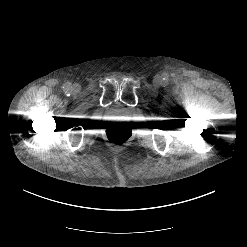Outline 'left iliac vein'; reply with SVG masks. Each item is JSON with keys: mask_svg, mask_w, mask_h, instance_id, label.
Listing matches in <instances>:
<instances>
[{"mask_svg": "<svg viewBox=\"0 0 247 247\" xmlns=\"http://www.w3.org/2000/svg\"><path fill=\"white\" fill-rule=\"evenodd\" d=\"M153 82H154V84L156 85V86H158V85H160L161 84V82H162V79H161V77L160 76H155L154 77V80H153Z\"/></svg>", "mask_w": 247, "mask_h": 247, "instance_id": "left-iliac-vein-1", "label": "left iliac vein"}]
</instances>
